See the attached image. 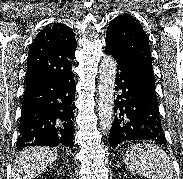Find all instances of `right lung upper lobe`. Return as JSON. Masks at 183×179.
I'll list each match as a JSON object with an SVG mask.
<instances>
[{
  "label": "right lung upper lobe",
  "instance_id": "obj_1",
  "mask_svg": "<svg viewBox=\"0 0 183 179\" xmlns=\"http://www.w3.org/2000/svg\"><path fill=\"white\" fill-rule=\"evenodd\" d=\"M75 50V35L70 27L61 23L45 27L29 49L26 85L39 78H73L70 61L75 58Z\"/></svg>",
  "mask_w": 183,
  "mask_h": 179
}]
</instances>
